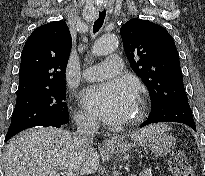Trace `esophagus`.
<instances>
[{"label":"esophagus","instance_id":"esophagus-1","mask_svg":"<svg viewBox=\"0 0 205 176\" xmlns=\"http://www.w3.org/2000/svg\"><path fill=\"white\" fill-rule=\"evenodd\" d=\"M102 146H103L104 148L113 147V146H115V141H114V140H111V139L104 140V141L102 142Z\"/></svg>","mask_w":205,"mask_h":176}]
</instances>
